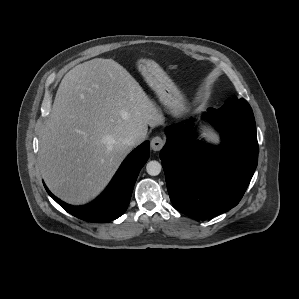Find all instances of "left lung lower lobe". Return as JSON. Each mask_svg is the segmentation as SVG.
Wrapping results in <instances>:
<instances>
[{"label": "left lung lower lobe", "instance_id": "left-lung-lower-lobe-1", "mask_svg": "<svg viewBox=\"0 0 299 299\" xmlns=\"http://www.w3.org/2000/svg\"><path fill=\"white\" fill-rule=\"evenodd\" d=\"M220 132L222 143L210 149L193 139L191 124L166 129L160 152L168 193L174 207L207 219L235 207L243 197L258 161L255 118L240 114H203Z\"/></svg>", "mask_w": 299, "mask_h": 299}]
</instances>
